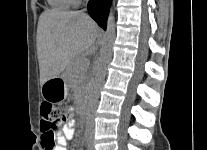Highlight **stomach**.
Masks as SVG:
<instances>
[{
    "mask_svg": "<svg viewBox=\"0 0 207 150\" xmlns=\"http://www.w3.org/2000/svg\"><path fill=\"white\" fill-rule=\"evenodd\" d=\"M41 92L44 99L60 101L67 97V83L62 77L53 78L42 85Z\"/></svg>",
    "mask_w": 207,
    "mask_h": 150,
    "instance_id": "obj_1",
    "label": "stomach"
}]
</instances>
